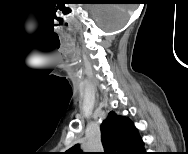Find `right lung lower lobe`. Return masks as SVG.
Returning a JSON list of instances; mask_svg holds the SVG:
<instances>
[{"label": "right lung lower lobe", "instance_id": "1", "mask_svg": "<svg viewBox=\"0 0 188 154\" xmlns=\"http://www.w3.org/2000/svg\"><path fill=\"white\" fill-rule=\"evenodd\" d=\"M145 153V151L143 150V151H141V154H144Z\"/></svg>", "mask_w": 188, "mask_h": 154}]
</instances>
